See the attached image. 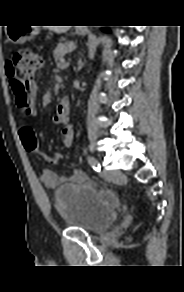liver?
Returning <instances> with one entry per match:
<instances>
[{
    "instance_id": "obj_1",
    "label": "liver",
    "mask_w": 184,
    "mask_h": 292,
    "mask_svg": "<svg viewBox=\"0 0 184 292\" xmlns=\"http://www.w3.org/2000/svg\"><path fill=\"white\" fill-rule=\"evenodd\" d=\"M49 29L55 33L60 34L65 33L69 29V26H50Z\"/></svg>"
}]
</instances>
